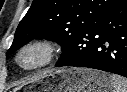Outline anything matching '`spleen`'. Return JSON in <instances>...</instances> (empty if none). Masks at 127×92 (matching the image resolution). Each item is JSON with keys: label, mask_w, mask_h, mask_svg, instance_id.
I'll return each mask as SVG.
<instances>
[{"label": "spleen", "mask_w": 127, "mask_h": 92, "mask_svg": "<svg viewBox=\"0 0 127 92\" xmlns=\"http://www.w3.org/2000/svg\"><path fill=\"white\" fill-rule=\"evenodd\" d=\"M111 80L113 82V92H127V79L118 75H112Z\"/></svg>", "instance_id": "obj_1"}]
</instances>
